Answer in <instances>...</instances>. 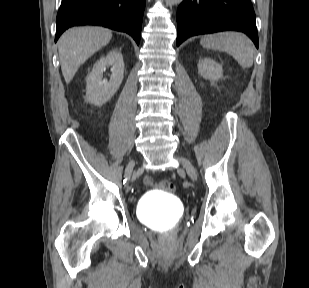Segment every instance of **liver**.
Returning a JSON list of instances; mask_svg holds the SVG:
<instances>
[{
	"instance_id": "liver-1",
	"label": "liver",
	"mask_w": 309,
	"mask_h": 288,
	"mask_svg": "<svg viewBox=\"0 0 309 288\" xmlns=\"http://www.w3.org/2000/svg\"><path fill=\"white\" fill-rule=\"evenodd\" d=\"M111 38L112 31L103 27L68 29L58 41L61 70L65 82L70 83L79 67L106 46Z\"/></svg>"
}]
</instances>
